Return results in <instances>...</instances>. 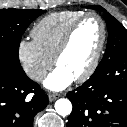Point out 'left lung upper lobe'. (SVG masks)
Wrapping results in <instances>:
<instances>
[{"label": "left lung upper lobe", "instance_id": "1", "mask_svg": "<svg viewBox=\"0 0 127 127\" xmlns=\"http://www.w3.org/2000/svg\"><path fill=\"white\" fill-rule=\"evenodd\" d=\"M87 8L104 12L108 28V42L103 59L98 65L102 66L108 60L114 58L118 53L127 52V30L102 7L94 5L87 6Z\"/></svg>", "mask_w": 127, "mask_h": 127}]
</instances>
